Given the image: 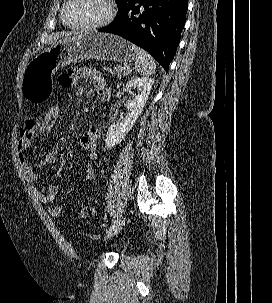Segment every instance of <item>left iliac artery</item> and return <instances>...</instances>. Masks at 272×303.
I'll list each match as a JSON object with an SVG mask.
<instances>
[{"instance_id": "obj_1", "label": "left iliac artery", "mask_w": 272, "mask_h": 303, "mask_svg": "<svg viewBox=\"0 0 272 303\" xmlns=\"http://www.w3.org/2000/svg\"><path fill=\"white\" fill-rule=\"evenodd\" d=\"M117 216V215H116ZM119 221V218L118 217H115L114 220H111V225L110 227L107 229V232L110 231L111 229H113L116 225V222Z\"/></svg>"}]
</instances>
